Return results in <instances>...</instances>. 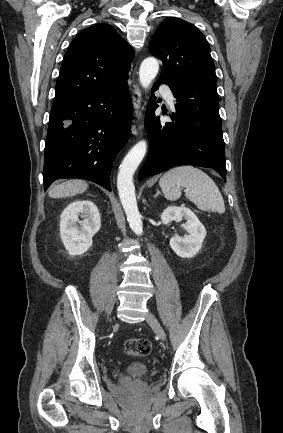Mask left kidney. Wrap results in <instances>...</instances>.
Here are the masks:
<instances>
[{
	"label": "left kidney",
	"mask_w": 283,
	"mask_h": 433,
	"mask_svg": "<svg viewBox=\"0 0 283 433\" xmlns=\"http://www.w3.org/2000/svg\"><path fill=\"white\" fill-rule=\"evenodd\" d=\"M186 220L183 225L188 234L184 237L175 235L170 239V247L182 258L194 257L200 250L203 240L206 236V229L199 221L197 216L189 208L169 206L161 214V221L169 225L172 221Z\"/></svg>",
	"instance_id": "5707ae66"
}]
</instances>
